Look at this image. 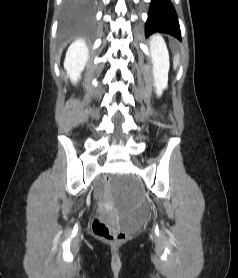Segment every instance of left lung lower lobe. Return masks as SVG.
I'll return each mask as SVG.
<instances>
[{
	"mask_svg": "<svg viewBox=\"0 0 238 278\" xmlns=\"http://www.w3.org/2000/svg\"><path fill=\"white\" fill-rule=\"evenodd\" d=\"M154 32L168 33L181 40L178 19L170 0H152L145 34L149 36Z\"/></svg>",
	"mask_w": 238,
	"mask_h": 278,
	"instance_id": "left-lung-lower-lobe-1",
	"label": "left lung lower lobe"
}]
</instances>
